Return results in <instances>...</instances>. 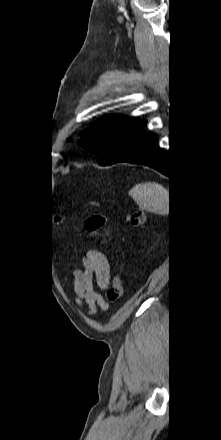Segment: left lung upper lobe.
Segmentation results:
<instances>
[{
	"mask_svg": "<svg viewBox=\"0 0 221 440\" xmlns=\"http://www.w3.org/2000/svg\"><path fill=\"white\" fill-rule=\"evenodd\" d=\"M140 123L120 114L107 115L85 131L78 143L94 153L100 165H111L124 155Z\"/></svg>",
	"mask_w": 221,
	"mask_h": 440,
	"instance_id": "left-lung-upper-lobe-1",
	"label": "left lung upper lobe"
}]
</instances>
